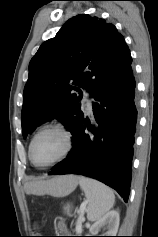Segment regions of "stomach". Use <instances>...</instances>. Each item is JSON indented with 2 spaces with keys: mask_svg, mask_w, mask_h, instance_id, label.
Listing matches in <instances>:
<instances>
[{
  "mask_svg": "<svg viewBox=\"0 0 158 237\" xmlns=\"http://www.w3.org/2000/svg\"><path fill=\"white\" fill-rule=\"evenodd\" d=\"M71 192H64L63 194L61 195H58L57 197H64V196H67L68 194H70ZM72 204L71 203H66L64 206H63V210H64V213H66L67 215H70L71 214V211H72Z\"/></svg>",
  "mask_w": 158,
  "mask_h": 237,
  "instance_id": "stomach-1",
  "label": "stomach"
}]
</instances>
